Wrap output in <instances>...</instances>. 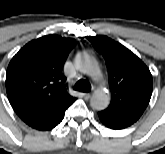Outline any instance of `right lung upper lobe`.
<instances>
[{"mask_svg": "<svg viewBox=\"0 0 165 154\" xmlns=\"http://www.w3.org/2000/svg\"><path fill=\"white\" fill-rule=\"evenodd\" d=\"M75 43L71 38L47 35L29 42L12 58L6 91L20 118L69 95L62 68Z\"/></svg>", "mask_w": 165, "mask_h": 154, "instance_id": "obj_1", "label": "right lung upper lobe"}]
</instances>
